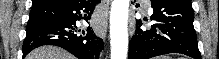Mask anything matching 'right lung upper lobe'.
Wrapping results in <instances>:
<instances>
[{"label":"right lung upper lobe","mask_w":219,"mask_h":59,"mask_svg":"<svg viewBox=\"0 0 219 59\" xmlns=\"http://www.w3.org/2000/svg\"><path fill=\"white\" fill-rule=\"evenodd\" d=\"M61 0H33V5L32 8L41 5V4H45V3H54V2H58Z\"/></svg>","instance_id":"obj_1"}]
</instances>
